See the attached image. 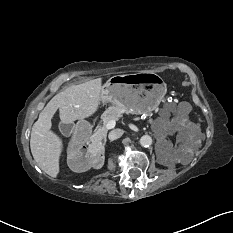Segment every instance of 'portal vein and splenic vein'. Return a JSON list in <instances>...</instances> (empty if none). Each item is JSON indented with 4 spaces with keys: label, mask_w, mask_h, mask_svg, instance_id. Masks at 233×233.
<instances>
[{
    "label": "portal vein and splenic vein",
    "mask_w": 233,
    "mask_h": 233,
    "mask_svg": "<svg viewBox=\"0 0 233 233\" xmlns=\"http://www.w3.org/2000/svg\"><path fill=\"white\" fill-rule=\"evenodd\" d=\"M115 124H116L115 120H111L105 125V127L107 130H110V129H113L115 127Z\"/></svg>",
    "instance_id": "1"
}]
</instances>
